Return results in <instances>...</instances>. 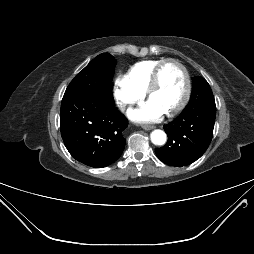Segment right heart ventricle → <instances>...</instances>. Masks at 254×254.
I'll use <instances>...</instances> for the list:
<instances>
[{
    "mask_svg": "<svg viewBox=\"0 0 254 254\" xmlns=\"http://www.w3.org/2000/svg\"><path fill=\"white\" fill-rule=\"evenodd\" d=\"M162 60L164 59L143 60L137 62L129 68L127 76L138 89L146 92L150 84L153 72Z\"/></svg>",
    "mask_w": 254,
    "mask_h": 254,
    "instance_id": "obj_1",
    "label": "right heart ventricle"
}]
</instances>
